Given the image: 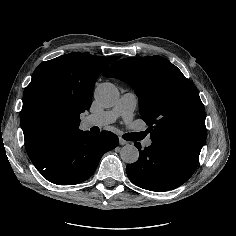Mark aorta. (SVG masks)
<instances>
[{"label":"aorta","instance_id":"aorta-1","mask_svg":"<svg viewBox=\"0 0 236 236\" xmlns=\"http://www.w3.org/2000/svg\"><path fill=\"white\" fill-rule=\"evenodd\" d=\"M94 96L103 107H112L119 99V91L115 85L106 82L96 88ZM120 158L125 163H135L139 158V151L134 145H125L120 150Z\"/></svg>","mask_w":236,"mask_h":236}]
</instances>
